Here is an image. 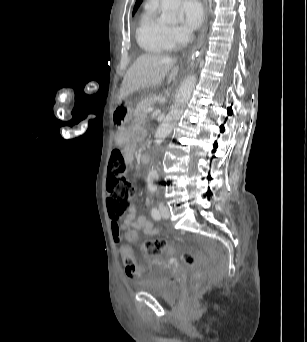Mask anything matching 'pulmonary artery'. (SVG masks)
I'll return each instance as SVG.
<instances>
[{"label":"pulmonary artery","mask_w":307,"mask_h":342,"mask_svg":"<svg viewBox=\"0 0 307 342\" xmlns=\"http://www.w3.org/2000/svg\"><path fill=\"white\" fill-rule=\"evenodd\" d=\"M145 15L147 16L148 19H150L151 16H153V8L150 7L146 10Z\"/></svg>","instance_id":"pulmonary-artery-1"}]
</instances>
